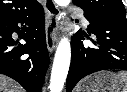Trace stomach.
Listing matches in <instances>:
<instances>
[{"mask_svg":"<svg viewBox=\"0 0 127 92\" xmlns=\"http://www.w3.org/2000/svg\"><path fill=\"white\" fill-rule=\"evenodd\" d=\"M121 87L122 82L116 74L100 72L86 79L80 92H118Z\"/></svg>","mask_w":127,"mask_h":92,"instance_id":"stomach-1","label":"stomach"}]
</instances>
